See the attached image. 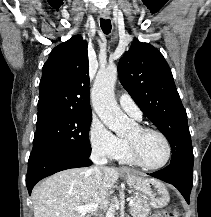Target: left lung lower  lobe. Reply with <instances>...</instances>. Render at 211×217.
I'll use <instances>...</instances> for the list:
<instances>
[{
    "instance_id": "0a47b994",
    "label": "left lung lower lobe",
    "mask_w": 211,
    "mask_h": 217,
    "mask_svg": "<svg viewBox=\"0 0 211 217\" xmlns=\"http://www.w3.org/2000/svg\"><path fill=\"white\" fill-rule=\"evenodd\" d=\"M149 175L174 185L189 203L193 184V164L173 163Z\"/></svg>"
}]
</instances>
